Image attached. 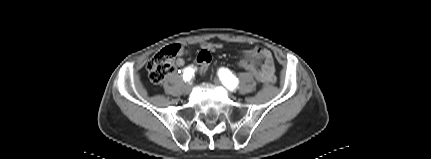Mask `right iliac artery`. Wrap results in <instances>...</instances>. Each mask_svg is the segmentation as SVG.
<instances>
[{"label": "right iliac artery", "instance_id": "82829eb1", "mask_svg": "<svg viewBox=\"0 0 431 159\" xmlns=\"http://www.w3.org/2000/svg\"><path fill=\"white\" fill-rule=\"evenodd\" d=\"M195 69L193 67H187L183 71V79L184 81H190L194 76Z\"/></svg>", "mask_w": 431, "mask_h": 159}]
</instances>
